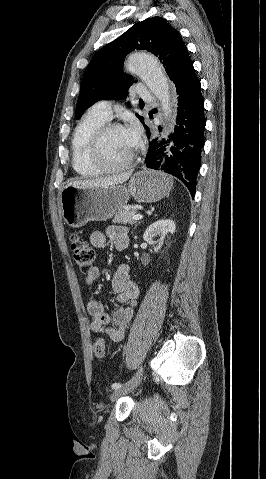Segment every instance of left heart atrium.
<instances>
[{"instance_id": "39dd6f15", "label": "left heart atrium", "mask_w": 266, "mask_h": 479, "mask_svg": "<svg viewBox=\"0 0 266 479\" xmlns=\"http://www.w3.org/2000/svg\"><path fill=\"white\" fill-rule=\"evenodd\" d=\"M133 147H135L139 141L140 130L136 124H132L130 127L125 129Z\"/></svg>"}]
</instances>
